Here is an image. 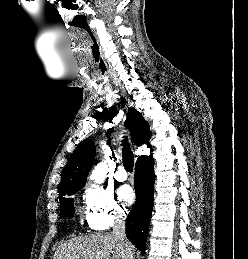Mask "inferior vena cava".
Instances as JSON below:
<instances>
[{
  "label": "inferior vena cava",
  "instance_id": "inferior-vena-cava-1",
  "mask_svg": "<svg viewBox=\"0 0 248 259\" xmlns=\"http://www.w3.org/2000/svg\"><path fill=\"white\" fill-rule=\"evenodd\" d=\"M112 234L116 236L121 242L123 243L126 242L124 214L119 213L115 217ZM126 247H127V259H133V253L131 252L127 244H126Z\"/></svg>",
  "mask_w": 248,
  "mask_h": 259
}]
</instances>
